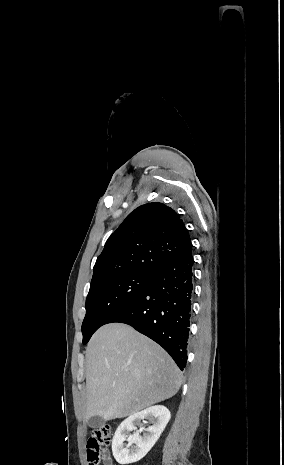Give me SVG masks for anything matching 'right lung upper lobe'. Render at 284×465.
Returning a JSON list of instances; mask_svg holds the SVG:
<instances>
[{
	"label": "right lung upper lobe",
	"instance_id": "right-lung-upper-lobe-1",
	"mask_svg": "<svg viewBox=\"0 0 284 465\" xmlns=\"http://www.w3.org/2000/svg\"><path fill=\"white\" fill-rule=\"evenodd\" d=\"M191 248L188 230L172 208L159 202L139 206L107 240L90 286L132 273L154 276Z\"/></svg>",
	"mask_w": 284,
	"mask_h": 465
}]
</instances>
